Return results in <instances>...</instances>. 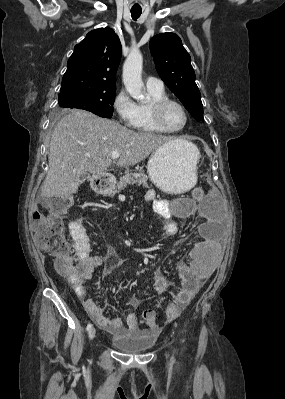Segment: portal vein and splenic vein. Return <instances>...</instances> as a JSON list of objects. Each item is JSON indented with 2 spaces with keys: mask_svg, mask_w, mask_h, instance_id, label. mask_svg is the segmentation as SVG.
I'll list each match as a JSON object with an SVG mask.
<instances>
[{
  "mask_svg": "<svg viewBox=\"0 0 285 399\" xmlns=\"http://www.w3.org/2000/svg\"><path fill=\"white\" fill-rule=\"evenodd\" d=\"M111 157H112L113 160H115V159H117V158L120 157V153L117 152V151H113V152L111 153Z\"/></svg>",
  "mask_w": 285,
  "mask_h": 399,
  "instance_id": "18ae733b",
  "label": "portal vein and splenic vein"
}]
</instances>
